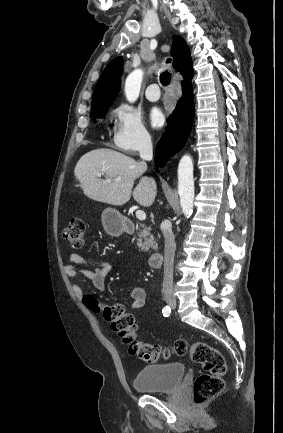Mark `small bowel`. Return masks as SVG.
<instances>
[{
    "instance_id": "small-bowel-1",
    "label": "small bowel",
    "mask_w": 283,
    "mask_h": 433,
    "mask_svg": "<svg viewBox=\"0 0 283 433\" xmlns=\"http://www.w3.org/2000/svg\"><path fill=\"white\" fill-rule=\"evenodd\" d=\"M68 263L64 266L65 273L70 278H75L79 274L89 279L94 288L99 291H104L105 279L110 273L112 267L110 263L105 261H91L78 254L70 253L66 255ZM73 292L76 297L83 296L82 289L74 284ZM130 308L132 310H141L146 303V292L141 286H135L130 292Z\"/></svg>"
}]
</instances>
